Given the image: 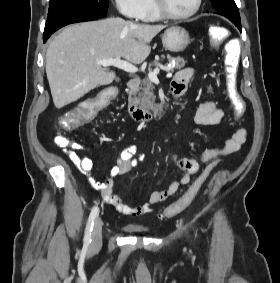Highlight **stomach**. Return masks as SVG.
Here are the masks:
<instances>
[{
	"instance_id": "obj_1",
	"label": "stomach",
	"mask_w": 280,
	"mask_h": 283,
	"mask_svg": "<svg viewBox=\"0 0 280 283\" xmlns=\"http://www.w3.org/2000/svg\"><path fill=\"white\" fill-rule=\"evenodd\" d=\"M189 43V33L186 29L180 26L169 27L162 36V44L164 48L173 53L183 51Z\"/></svg>"
}]
</instances>
